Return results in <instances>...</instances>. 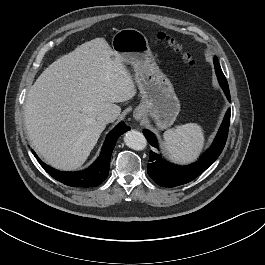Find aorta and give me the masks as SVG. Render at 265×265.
I'll return each instance as SVG.
<instances>
[{"instance_id":"1","label":"aorta","mask_w":265,"mask_h":265,"mask_svg":"<svg viewBox=\"0 0 265 265\" xmlns=\"http://www.w3.org/2000/svg\"><path fill=\"white\" fill-rule=\"evenodd\" d=\"M124 142L129 148L136 150H142L147 145L144 135L136 130L126 132L124 135Z\"/></svg>"}]
</instances>
